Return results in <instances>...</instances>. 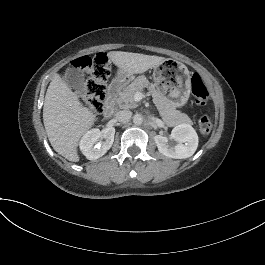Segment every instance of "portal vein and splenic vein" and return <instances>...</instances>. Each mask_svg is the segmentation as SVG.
I'll use <instances>...</instances> for the list:
<instances>
[{"label": "portal vein and splenic vein", "mask_w": 265, "mask_h": 265, "mask_svg": "<svg viewBox=\"0 0 265 265\" xmlns=\"http://www.w3.org/2000/svg\"><path fill=\"white\" fill-rule=\"evenodd\" d=\"M135 95L139 96V95H141V93H140V92H136V94H135Z\"/></svg>", "instance_id": "obj_1"}]
</instances>
